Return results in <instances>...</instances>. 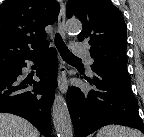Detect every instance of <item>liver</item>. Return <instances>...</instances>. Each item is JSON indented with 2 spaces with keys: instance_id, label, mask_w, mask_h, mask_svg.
<instances>
[{
  "instance_id": "liver-1",
  "label": "liver",
  "mask_w": 144,
  "mask_h": 137,
  "mask_svg": "<svg viewBox=\"0 0 144 137\" xmlns=\"http://www.w3.org/2000/svg\"><path fill=\"white\" fill-rule=\"evenodd\" d=\"M39 131L27 120L9 113H0V137H39Z\"/></svg>"
}]
</instances>
